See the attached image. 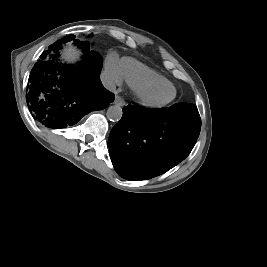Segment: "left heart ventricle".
<instances>
[{
  "mask_svg": "<svg viewBox=\"0 0 267 267\" xmlns=\"http://www.w3.org/2000/svg\"><path fill=\"white\" fill-rule=\"evenodd\" d=\"M172 95L173 89L170 86L155 87L146 92V96L153 101H165Z\"/></svg>",
  "mask_w": 267,
  "mask_h": 267,
  "instance_id": "left-heart-ventricle-1",
  "label": "left heart ventricle"
}]
</instances>
